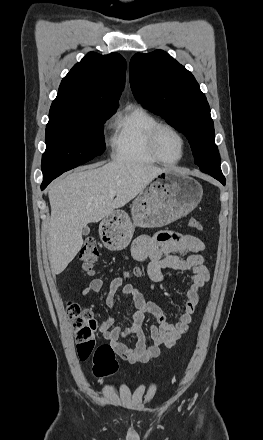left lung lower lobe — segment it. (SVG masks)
I'll use <instances>...</instances> for the list:
<instances>
[{"mask_svg": "<svg viewBox=\"0 0 263 440\" xmlns=\"http://www.w3.org/2000/svg\"><path fill=\"white\" fill-rule=\"evenodd\" d=\"M211 176L214 177L215 179L219 180L223 185H225V177L223 176L222 173H220V174H212Z\"/></svg>", "mask_w": 263, "mask_h": 440, "instance_id": "left-lung-lower-lobe-1", "label": "left lung lower lobe"}]
</instances>
